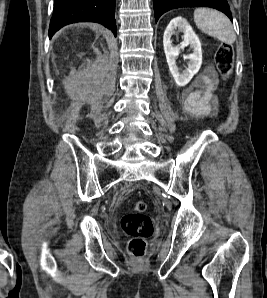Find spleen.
Listing matches in <instances>:
<instances>
[{
  "mask_svg": "<svg viewBox=\"0 0 267 298\" xmlns=\"http://www.w3.org/2000/svg\"><path fill=\"white\" fill-rule=\"evenodd\" d=\"M194 21L203 33L215 37L226 44H233L236 35L229 18L223 13L209 8H197Z\"/></svg>",
  "mask_w": 267,
  "mask_h": 298,
  "instance_id": "3e777b00",
  "label": "spleen"
}]
</instances>
